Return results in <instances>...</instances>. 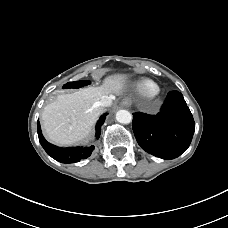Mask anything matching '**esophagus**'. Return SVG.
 Listing matches in <instances>:
<instances>
[{"label":"esophagus","mask_w":228,"mask_h":228,"mask_svg":"<svg viewBox=\"0 0 228 228\" xmlns=\"http://www.w3.org/2000/svg\"><path fill=\"white\" fill-rule=\"evenodd\" d=\"M120 104H121V106H123V107H129V106L131 105V100L125 98V99H123V100L121 101Z\"/></svg>","instance_id":"obj_1"}]
</instances>
